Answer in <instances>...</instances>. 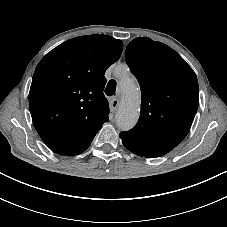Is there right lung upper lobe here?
Listing matches in <instances>:
<instances>
[{"label":"right lung upper lobe","mask_w":227,"mask_h":227,"mask_svg":"<svg viewBox=\"0 0 227 227\" xmlns=\"http://www.w3.org/2000/svg\"><path fill=\"white\" fill-rule=\"evenodd\" d=\"M122 50V41L111 36H80L39 62L29 107L38 134L52 151L64 156L82 153L109 120L104 74Z\"/></svg>","instance_id":"obj_1"}]
</instances>
